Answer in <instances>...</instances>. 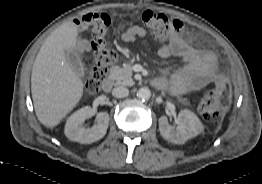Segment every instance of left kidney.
<instances>
[{"label": "left kidney", "mask_w": 262, "mask_h": 184, "mask_svg": "<svg viewBox=\"0 0 262 184\" xmlns=\"http://www.w3.org/2000/svg\"><path fill=\"white\" fill-rule=\"evenodd\" d=\"M178 126L174 129L166 117L159 118V130L163 138L175 144H183L203 132L199 118L190 110H181L178 114Z\"/></svg>", "instance_id": "5707ae66"}]
</instances>
